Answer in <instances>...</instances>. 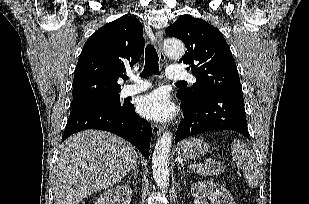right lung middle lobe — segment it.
I'll list each match as a JSON object with an SVG mask.
<instances>
[{
	"mask_svg": "<svg viewBox=\"0 0 309 204\" xmlns=\"http://www.w3.org/2000/svg\"><path fill=\"white\" fill-rule=\"evenodd\" d=\"M124 106V105H123ZM120 103L119 93L109 94L88 101L72 104V110L87 107H113L120 109L123 107Z\"/></svg>",
	"mask_w": 309,
	"mask_h": 204,
	"instance_id": "obj_1",
	"label": "right lung middle lobe"
}]
</instances>
